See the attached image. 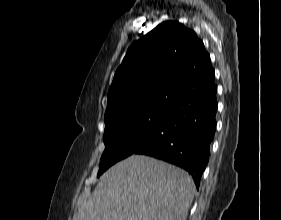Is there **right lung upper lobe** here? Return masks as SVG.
Returning a JSON list of instances; mask_svg holds the SVG:
<instances>
[{
    "label": "right lung upper lobe",
    "instance_id": "right-lung-upper-lobe-1",
    "mask_svg": "<svg viewBox=\"0 0 281 220\" xmlns=\"http://www.w3.org/2000/svg\"><path fill=\"white\" fill-rule=\"evenodd\" d=\"M209 54L196 33L166 21L134 42L108 91L105 125L131 114L166 111L214 85Z\"/></svg>",
    "mask_w": 281,
    "mask_h": 220
}]
</instances>
